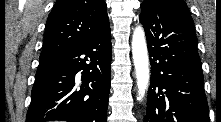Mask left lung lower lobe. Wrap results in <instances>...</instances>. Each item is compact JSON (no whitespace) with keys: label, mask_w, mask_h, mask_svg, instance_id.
Listing matches in <instances>:
<instances>
[{"label":"left lung lower lobe","mask_w":221,"mask_h":122,"mask_svg":"<svg viewBox=\"0 0 221 122\" xmlns=\"http://www.w3.org/2000/svg\"><path fill=\"white\" fill-rule=\"evenodd\" d=\"M143 24L151 63L144 122H210L194 22L181 2L145 0Z\"/></svg>","instance_id":"1"}]
</instances>
